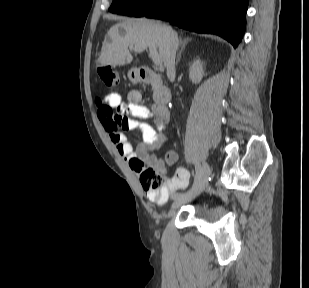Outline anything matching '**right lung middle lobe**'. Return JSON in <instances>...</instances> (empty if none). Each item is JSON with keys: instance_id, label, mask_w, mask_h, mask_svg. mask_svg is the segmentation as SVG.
<instances>
[{"instance_id": "1", "label": "right lung middle lobe", "mask_w": 309, "mask_h": 288, "mask_svg": "<svg viewBox=\"0 0 309 288\" xmlns=\"http://www.w3.org/2000/svg\"><path fill=\"white\" fill-rule=\"evenodd\" d=\"M165 0H113L109 11L116 14L142 17Z\"/></svg>"}]
</instances>
